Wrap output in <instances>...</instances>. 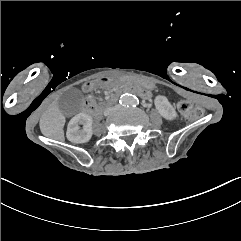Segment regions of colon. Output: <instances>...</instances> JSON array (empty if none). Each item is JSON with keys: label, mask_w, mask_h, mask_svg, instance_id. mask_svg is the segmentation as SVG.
Masks as SVG:
<instances>
[{"label": "colon", "mask_w": 241, "mask_h": 241, "mask_svg": "<svg viewBox=\"0 0 241 241\" xmlns=\"http://www.w3.org/2000/svg\"><path fill=\"white\" fill-rule=\"evenodd\" d=\"M178 110L188 119L201 118L203 116V108L201 106H195L190 102H179Z\"/></svg>", "instance_id": "colon-1"}]
</instances>
